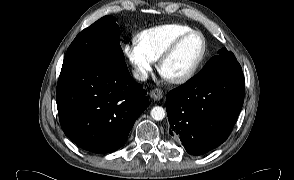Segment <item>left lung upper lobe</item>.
I'll return each instance as SVG.
<instances>
[{
    "label": "left lung upper lobe",
    "mask_w": 294,
    "mask_h": 180,
    "mask_svg": "<svg viewBox=\"0 0 294 180\" xmlns=\"http://www.w3.org/2000/svg\"><path fill=\"white\" fill-rule=\"evenodd\" d=\"M238 71H242V68L236 57L231 51L223 48L219 51L218 55L212 57L205 68L192 79L195 81H203L223 72Z\"/></svg>",
    "instance_id": "1"
}]
</instances>
